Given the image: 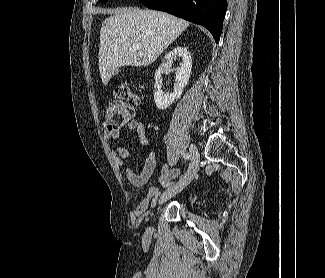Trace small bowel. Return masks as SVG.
Listing matches in <instances>:
<instances>
[{"mask_svg":"<svg viewBox=\"0 0 325 278\" xmlns=\"http://www.w3.org/2000/svg\"><path fill=\"white\" fill-rule=\"evenodd\" d=\"M122 131H136L139 137V142L142 146H149L151 144V139L146 134L145 126L139 119L133 118L123 126L122 130L118 129L114 131H107L105 133V136L109 140L115 142L121 137ZM112 152L116 165L118 167L125 168L126 177L132 186L142 187L150 180L155 171L157 163L155 152L149 153L140 173L135 172L132 168L127 166V163L130 159V153L125 147L114 144L112 146ZM180 172V168L170 169L166 163L160 171V174L158 176V183L160 185H164L168 183L172 178L179 176ZM159 195L160 192L157 188H151L148 192L147 197L141 202L140 206L138 207V211H142L150 204H154Z\"/></svg>","mask_w":325,"mask_h":278,"instance_id":"1","label":"small bowel"}]
</instances>
